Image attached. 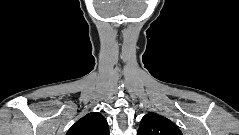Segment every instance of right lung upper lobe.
Returning <instances> with one entry per match:
<instances>
[{
    "label": "right lung upper lobe",
    "instance_id": "right-lung-upper-lobe-1",
    "mask_svg": "<svg viewBox=\"0 0 239 135\" xmlns=\"http://www.w3.org/2000/svg\"><path fill=\"white\" fill-rule=\"evenodd\" d=\"M66 135H110L106 119L98 112H91L78 120Z\"/></svg>",
    "mask_w": 239,
    "mask_h": 135
}]
</instances>
